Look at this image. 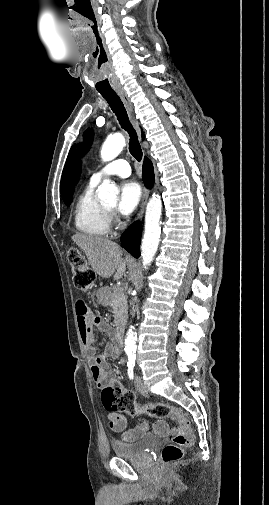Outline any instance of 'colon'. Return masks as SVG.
I'll return each instance as SVG.
<instances>
[{
	"label": "colon",
	"mask_w": 269,
	"mask_h": 505,
	"mask_svg": "<svg viewBox=\"0 0 269 505\" xmlns=\"http://www.w3.org/2000/svg\"><path fill=\"white\" fill-rule=\"evenodd\" d=\"M68 261L73 271L75 287L83 292L91 290L95 282V273L88 267L84 256L78 250L70 249ZM101 399L103 406L108 411H121L132 416L145 414L157 418L170 417L178 423L172 443L166 445L162 450V460L165 464L180 460L184 455V449L193 441L190 423L181 411L165 404L137 405L134 393L124 390L116 380L103 388Z\"/></svg>",
	"instance_id": "5ec220e1"
}]
</instances>
